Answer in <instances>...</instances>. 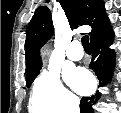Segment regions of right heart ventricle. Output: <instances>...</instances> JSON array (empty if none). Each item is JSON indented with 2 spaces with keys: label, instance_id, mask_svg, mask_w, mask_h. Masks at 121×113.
I'll return each instance as SVG.
<instances>
[{
  "label": "right heart ventricle",
  "instance_id": "obj_1",
  "mask_svg": "<svg viewBox=\"0 0 121 113\" xmlns=\"http://www.w3.org/2000/svg\"><path fill=\"white\" fill-rule=\"evenodd\" d=\"M30 113H48L47 110L34 97L29 102Z\"/></svg>",
  "mask_w": 121,
  "mask_h": 113
}]
</instances>
